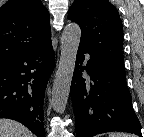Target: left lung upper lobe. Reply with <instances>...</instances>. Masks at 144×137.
<instances>
[{"label": "left lung upper lobe", "mask_w": 144, "mask_h": 137, "mask_svg": "<svg viewBox=\"0 0 144 137\" xmlns=\"http://www.w3.org/2000/svg\"><path fill=\"white\" fill-rule=\"evenodd\" d=\"M68 18L81 28L80 46L124 67L123 25L117 9L108 0H75Z\"/></svg>", "instance_id": "left-lung-upper-lobe-1"}]
</instances>
